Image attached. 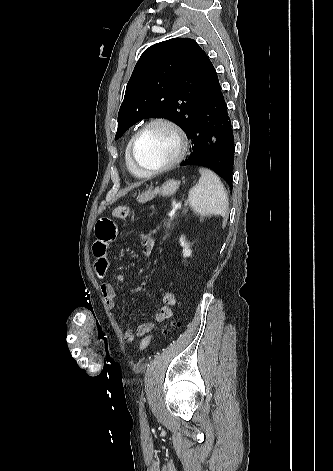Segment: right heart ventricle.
Instances as JSON below:
<instances>
[{"label":"right heart ventricle","mask_w":333,"mask_h":471,"mask_svg":"<svg viewBox=\"0 0 333 471\" xmlns=\"http://www.w3.org/2000/svg\"><path fill=\"white\" fill-rule=\"evenodd\" d=\"M132 139V138H131ZM131 139L128 141L127 143V146H126V149H125V163H126V167L127 169L135 176H138V177H145V175H142L138 170L135 169V167L132 165L131 161H130V157H129V146H130V142H131Z\"/></svg>","instance_id":"1"}]
</instances>
